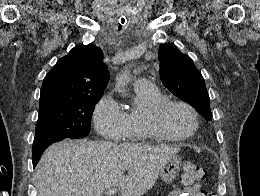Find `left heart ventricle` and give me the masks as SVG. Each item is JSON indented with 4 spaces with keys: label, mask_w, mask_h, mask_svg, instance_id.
<instances>
[{
    "label": "left heart ventricle",
    "mask_w": 260,
    "mask_h": 196,
    "mask_svg": "<svg viewBox=\"0 0 260 196\" xmlns=\"http://www.w3.org/2000/svg\"><path fill=\"white\" fill-rule=\"evenodd\" d=\"M192 114L181 106L169 107L160 118V126L169 134L181 136L194 128Z\"/></svg>",
    "instance_id": "b2bd125f"
}]
</instances>
